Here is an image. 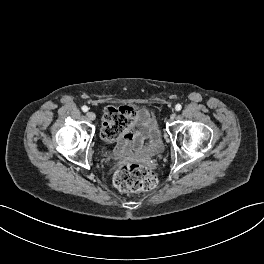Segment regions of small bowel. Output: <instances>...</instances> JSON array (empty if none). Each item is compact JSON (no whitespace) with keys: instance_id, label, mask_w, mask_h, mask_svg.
Instances as JSON below:
<instances>
[{"instance_id":"1","label":"small bowel","mask_w":264,"mask_h":264,"mask_svg":"<svg viewBox=\"0 0 264 264\" xmlns=\"http://www.w3.org/2000/svg\"><path fill=\"white\" fill-rule=\"evenodd\" d=\"M107 121L104 119L103 126ZM158 134L156 120L146 109L134 111L133 121L126 134L117 140L115 153L126 159L131 157V150L142 151L144 143L148 140L149 145L153 143Z\"/></svg>"}]
</instances>
